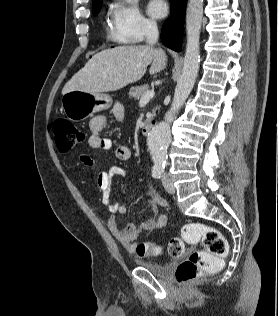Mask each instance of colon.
Instances as JSON below:
<instances>
[{
	"label": "colon",
	"mask_w": 278,
	"mask_h": 316,
	"mask_svg": "<svg viewBox=\"0 0 278 316\" xmlns=\"http://www.w3.org/2000/svg\"><path fill=\"white\" fill-rule=\"evenodd\" d=\"M52 131L60 152L70 151L86 140V133L81 128L63 118L54 121ZM185 243H201L202 249L192 252L178 265L175 275L180 285L222 268L228 245L218 229L202 223H188L183 226L180 237L169 241L168 254L176 258L181 257L185 251ZM161 252V247L151 243H141L137 247L140 256H154Z\"/></svg>",
	"instance_id": "obj_1"
}]
</instances>
